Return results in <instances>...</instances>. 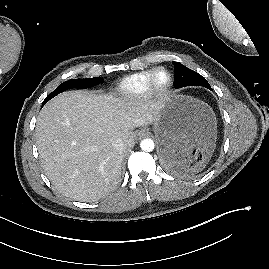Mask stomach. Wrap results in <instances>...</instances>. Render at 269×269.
<instances>
[{"mask_svg":"<svg viewBox=\"0 0 269 269\" xmlns=\"http://www.w3.org/2000/svg\"><path fill=\"white\" fill-rule=\"evenodd\" d=\"M153 129L163 163L165 147L178 150L175 170L181 171L206 162L216 147L217 121L210 106L199 99L169 95L160 101Z\"/></svg>","mask_w":269,"mask_h":269,"instance_id":"obj_1","label":"stomach"}]
</instances>
